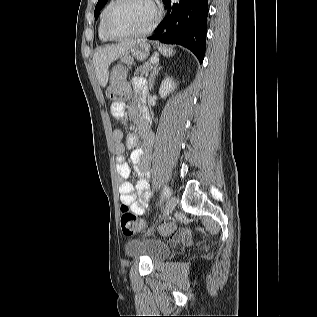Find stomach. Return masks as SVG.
Listing matches in <instances>:
<instances>
[{"mask_svg": "<svg viewBox=\"0 0 317 317\" xmlns=\"http://www.w3.org/2000/svg\"><path fill=\"white\" fill-rule=\"evenodd\" d=\"M150 50V45L145 42L134 44L128 51H126L120 58L121 63H114L113 68H127L132 70L133 61L135 59V66H143Z\"/></svg>", "mask_w": 317, "mask_h": 317, "instance_id": "1", "label": "stomach"}]
</instances>
